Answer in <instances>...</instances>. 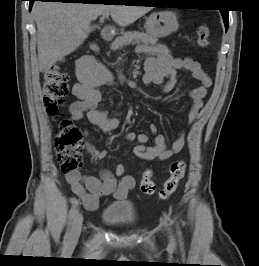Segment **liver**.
Wrapping results in <instances>:
<instances>
[{
  "label": "liver",
  "mask_w": 259,
  "mask_h": 266,
  "mask_svg": "<svg viewBox=\"0 0 259 266\" xmlns=\"http://www.w3.org/2000/svg\"><path fill=\"white\" fill-rule=\"evenodd\" d=\"M150 10L145 6L35 2L32 13L40 70L48 72L60 58L76 50L88 37L90 23L102 13H110L115 23L125 27Z\"/></svg>",
  "instance_id": "obj_1"
}]
</instances>
